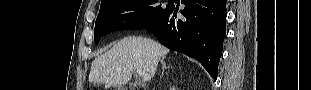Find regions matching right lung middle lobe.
I'll return each mask as SVG.
<instances>
[{
    "label": "right lung middle lobe",
    "instance_id": "dd1d6c3e",
    "mask_svg": "<svg viewBox=\"0 0 311 90\" xmlns=\"http://www.w3.org/2000/svg\"><path fill=\"white\" fill-rule=\"evenodd\" d=\"M157 0H107L100 5L95 23L94 42L110 32L123 29H143L157 22L167 12L156 6Z\"/></svg>",
    "mask_w": 311,
    "mask_h": 90
}]
</instances>
